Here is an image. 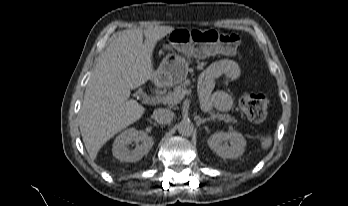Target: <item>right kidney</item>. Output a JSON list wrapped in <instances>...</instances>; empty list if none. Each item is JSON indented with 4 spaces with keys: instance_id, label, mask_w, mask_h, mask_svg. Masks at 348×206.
Returning <instances> with one entry per match:
<instances>
[{
    "instance_id": "obj_1",
    "label": "right kidney",
    "mask_w": 348,
    "mask_h": 206,
    "mask_svg": "<svg viewBox=\"0 0 348 206\" xmlns=\"http://www.w3.org/2000/svg\"><path fill=\"white\" fill-rule=\"evenodd\" d=\"M135 142L137 145L130 149L129 145ZM141 142V144H138ZM153 146V140L150 136L135 128H129L119 134L113 143V156L120 161L136 162L150 151Z\"/></svg>"
}]
</instances>
